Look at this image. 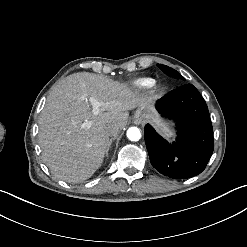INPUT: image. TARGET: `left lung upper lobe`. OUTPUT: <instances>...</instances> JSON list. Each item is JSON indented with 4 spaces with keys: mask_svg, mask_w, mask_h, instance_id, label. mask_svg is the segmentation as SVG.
I'll use <instances>...</instances> for the list:
<instances>
[{
    "mask_svg": "<svg viewBox=\"0 0 247 247\" xmlns=\"http://www.w3.org/2000/svg\"><path fill=\"white\" fill-rule=\"evenodd\" d=\"M157 66L167 75L177 78V79H184L181 74H179L176 70L162 64H157Z\"/></svg>",
    "mask_w": 247,
    "mask_h": 247,
    "instance_id": "obj_1",
    "label": "left lung upper lobe"
}]
</instances>
